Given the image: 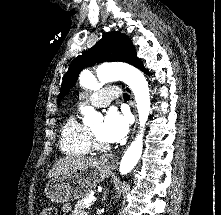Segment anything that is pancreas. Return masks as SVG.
Returning a JSON list of instances; mask_svg holds the SVG:
<instances>
[{
	"label": "pancreas",
	"instance_id": "pancreas-1",
	"mask_svg": "<svg viewBox=\"0 0 221 215\" xmlns=\"http://www.w3.org/2000/svg\"><path fill=\"white\" fill-rule=\"evenodd\" d=\"M90 195L85 196L83 199L79 200L75 205L76 209H89L93 204L94 201H89Z\"/></svg>",
	"mask_w": 221,
	"mask_h": 215
}]
</instances>
